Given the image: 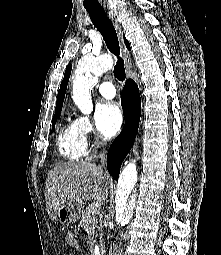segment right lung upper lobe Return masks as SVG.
Returning a JSON list of instances; mask_svg holds the SVG:
<instances>
[{
	"instance_id": "cb5924a9",
	"label": "right lung upper lobe",
	"mask_w": 221,
	"mask_h": 255,
	"mask_svg": "<svg viewBox=\"0 0 221 255\" xmlns=\"http://www.w3.org/2000/svg\"><path fill=\"white\" fill-rule=\"evenodd\" d=\"M124 42H125L126 47L128 49H130L129 42L125 38H124ZM71 69H72V65L69 64L66 67L65 75H64V78L61 82L60 89L58 91L57 102H56V112L61 111V109H62L67 84H68L69 77H70V74H71Z\"/></svg>"
}]
</instances>
